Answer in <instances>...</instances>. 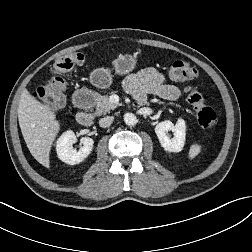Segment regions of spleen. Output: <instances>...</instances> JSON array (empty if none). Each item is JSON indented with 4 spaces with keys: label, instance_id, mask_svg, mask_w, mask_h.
<instances>
[{
    "label": "spleen",
    "instance_id": "3e777b00",
    "mask_svg": "<svg viewBox=\"0 0 252 252\" xmlns=\"http://www.w3.org/2000/svg\"><path fill=\"white\" fill-rule=\"evenodd\" d=\"M200 152H201V145L196 143L192 144L188 153L189 159H194Z\"/></svg>",
    "mask_w": 252,
    "mask_h": 252
}]
</instances>
